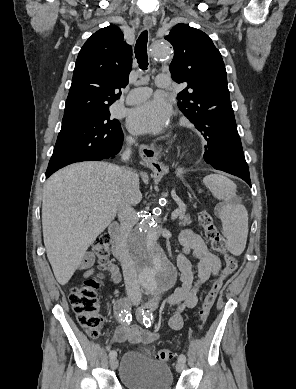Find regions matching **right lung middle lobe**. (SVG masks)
I'll list each match as a JSON object with an SVG mask.
<instances>
[{"mask_svg":"<svg viewBox=\"0 0 296 389\" xmlns=\"http://www.w3.org/2000/svg\"><path fill=\"white\" fill-rule=\"evenodd\" d=\"M123 133L109 109L64 117L48 168L66 166L120 147Z\"/></svg>","mask_w":296,"mask_h":389,"instance_id":"right-lung-middle-lobe-1","label":"right lung middle lobe"}]
</instances>
